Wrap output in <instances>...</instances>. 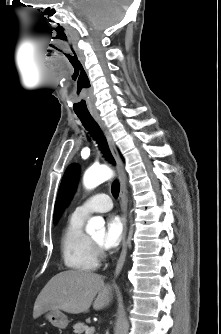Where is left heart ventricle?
<instances>
[{
	"mask_svg": "<svg viewBox=\"0 0 221 334\" xmlns=\"http://www.w3.org/2000/svg\"><path fill=\"white\" fill-rule=\"evenodd\" d=\"M93 240L96 241L97 243L101 244L102 242V235H97L93 237Z\"/></svg>",
	"mask_w": 221,
	"mask_h": 334,
	"instance_id": "b2bd125f",
	"label": "left heart ventricle"
}]
</instances>
